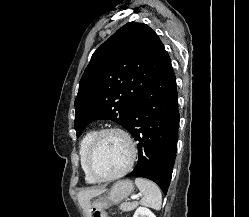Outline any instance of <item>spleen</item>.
<instances>
[{"label":"spleen","instance_id":"spleen-1","mask_svg":"<svg viewBox=\"0 0 249 217\" xmlns=\"http://www.w3.org/2000/svg\"><path fill=\"white\" fill-rule=\"evenodd\" d=\"M135 184L143 193V198L141 199L140 203L153 209L160 210L162 204V195L157 184L140 177L135 178Z\"/></svg>","mask_w":249,"mask_h":217}]
</instances>
